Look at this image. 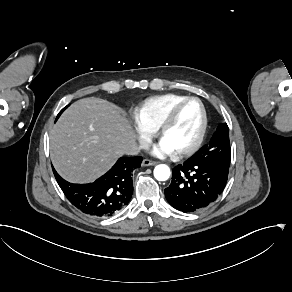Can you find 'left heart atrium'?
<instances>
[{"mask_svg": "<svg viewBox=\"0 0 292 292\" xmlns=\"http://www.w3.org/2000/svg\"><path fill=\"white\" fill-rule=\"evenodd\" d=\"M173 151L174 148L165 141H163L161 144L157 145L154 148V153L157 154L158 156H165L169 153H172Z\"/></svg>", "mask_w": 292, "mask_h": 292, "instance_id": "left-heart-atrium-1", "label": "left heart atrium"}]
</instances>
